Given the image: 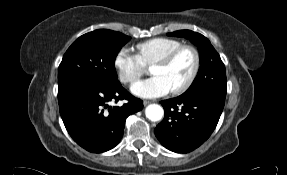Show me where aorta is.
I'll list each match as a JSON object with an SVG mask.
<instances>
[{"label": "aorta", "instance_id": "762f6f07", "mask_svg": "<svg viewBox=\"0 0 287 175\" xmlns=\"http://www.w3.org/2000/svg\"><path fill=\"white\" fill-rule=\"evenodd\" d=\"M145 115L149 120L156 122L162 119L164 110L158 104H150L145 109Z\"/></svg>", "mask_w": 287, "mask_h": 175}]
</instances>
